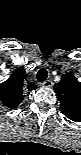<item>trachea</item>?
I'll use <instances>...</instances> for the list:
<instances>
[{"instance_id": "trachea-1", "label": "trachea", "mask_w": 81, "mask_h": 155, "mask_svg": "<svg viewBox=\"0 0 81 155\" xmlns=\"http://www.w3.org/2000/svg\"><path fill=\"white\" fill-rule=\"evenodd\" d=\"M48 77V72L46 69L42 68L37 72L36 78L38 82H44Z\"/></svg>"}]
</instances>
